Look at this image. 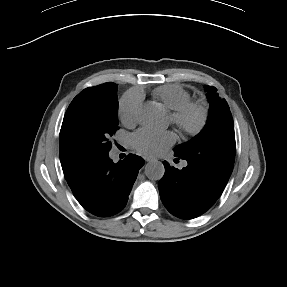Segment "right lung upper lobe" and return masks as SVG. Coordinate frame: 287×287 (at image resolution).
I'll list each match as a JSON object with an SVG mask.
<instances>
[{"label": "right lung upper lobe", "mask_w": 287, "mask_h": 287, "mask_svg": "<svg viewBox=\"0 0 287 287\" xmlns=\"http://www.w3.org/2000/svg\"><path fill=\"white\" fill-rule=\"evenodd\" d=\"M105 84H115V83L108 82V83H105ZM102 85H104V84H102ZM72 177H73V175H70V176H68V177L66 178V180H70Z\"/></svg>", "instance_id": "cb5924a9"}]
</instances>
